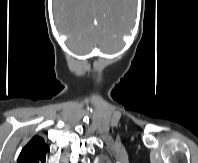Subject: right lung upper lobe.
Masks as SVG:
<instances>
[{
	"label": "right lung upper lobe",
	"instance_id": "obj_1",
	"mask_svg": "<svg viewBox=\"0 0 198 163\" xmlns=\"http://www.w3.org/2000/svg\"><path fill=\"white\" fill-rule=\"evenodd\" d=\"M48 151L44 139L36 135L22 149L17 163H45Z\"/></svg>",
	"mask_w": 198,
	"mask_h": 163
}]
</instances>
